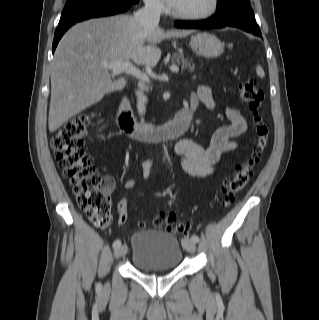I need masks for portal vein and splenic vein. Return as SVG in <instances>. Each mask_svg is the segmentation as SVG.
Instances as JSON below:
<instances>
[{
    "label": "portal vein and splenic vein",
    "mask_w": 319,
    "mask_h": 320,
    "mask_svg": "<svg viewBox=\"0 0 319 320\" xmlns=\"http://www.w3.org/2000/svg\"><path fill=\"white\" fill-rule=\"evenodd\" d=\"M103 66L111 69L113 74L118 75L122 72L131 74L142 81L149 82V76L146 73L141 72L138 68L133 66L129 61L126 62H110V63H103ZM172 72H178L179 68L175 65L170 67Z\"/></svg>",
    "instance_id": "18ae733b"
}]
</instances>
